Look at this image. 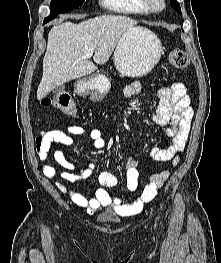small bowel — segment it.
<instances>
[{
  "instance_id": "small-bowel-1",
  "label": "small bowel",
  "mask_w": 221,
  "mask_h": 263,
  "mask_svg": "<svg viewBox=\"0 0 221 263\" xmlns=\"http://www.w3.org/2000/svg\"><path fill=\"white\" fill-rule=\"evenodd\" d=\"M142 90L140 82H132L124 89L126 97H133ZM159 104L154 116V120L161 125H167L166 134L170 138V146L166 149L153 148L151 156L160 161H170L172 166L177 165L180 155L183 152L191 125L193 110L190 106V99L187 90L182 83H173L169 87H162L158 90ZM87 134L96 149L105 147L103 134L99 129L86 130L77 125L48 131L40 140L39 158L45 162L43 172L49 179H55L56 186L62 193H67L71 201L87 210L89 214H94L102 208H110L119 216H131L140 212L145 203L152 201L157 189L163 185L170 175L169 170H164L151 175L150 184L144 189L141 196L123 202L118 196L109 193L105 188L117 185V178L107 171L99 174V183L102 187L96 190L93 198H87L72 188L67 187L63 181L73 182L78 179H85L92 175L95 166L88 164L77 167L69 162L61 150H54L52 156L54 160L67 170L57 174L56 169L46 161L49 158L51 145L70 146L74 143V137ZM140 173L137 160L130 156L126 161V185L129 191H135L138 186Z\"/></svg>"
}]
</instances>
